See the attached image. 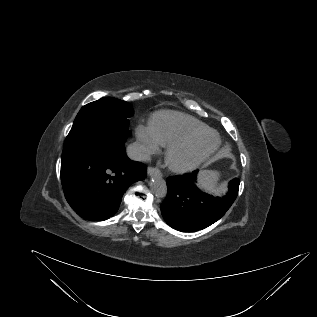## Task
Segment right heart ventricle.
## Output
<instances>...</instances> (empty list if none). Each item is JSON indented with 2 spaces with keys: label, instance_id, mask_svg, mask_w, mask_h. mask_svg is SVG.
<instances>
[{
  "label": "right heart ventricle",
  "instance_id": "right-heart-ventricle-1",
  "mask_svg": "<svg viewBox=\"0 0 317 317\" xmlns=\"http://www.w3.org/2000/svg\"><path fill=\"white\" fill-rule=\"evenodd\" d=\"M149 126L162 147H167L186 134L207 129V126L196 118L176 111L154 113L150 117Z\"/></svg>",
  "mask_w": 317,
  "mask_h": 317
}]
</instances>
